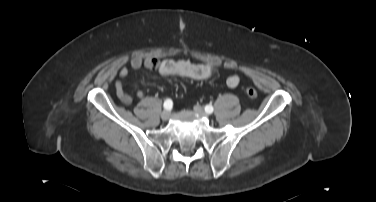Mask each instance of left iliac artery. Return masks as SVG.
Listing matches in <instances>:
<instances>
[{
	"label": "left iliac artery",
	"mask_w": 376,
	"mask_h": 202,
	"mask_svg": "<svg viewBox=\"0 0 376 202\" xmlns=\"http://www.w3.org/2000/svg\"><path fill=\"white\" fill-rule=\"evenodd\" d=\"M205 111H206L207 113H212V112L214 111V108H213L212 105H206V106H205Z\"/></svg>",
	"instance_id": "left-iliac-artery-1"
}]
</instances>
